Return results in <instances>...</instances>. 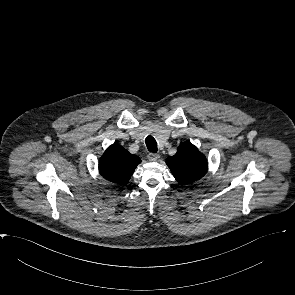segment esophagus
<instances>
[{"label": "esophagus", "instance_id": "esophagus-1", "mask_svg": "<svg viewBox=\"0 0 295 295\" xmlns=\"http://www.w3.org/2000/svg\"><path fill=\"white\" fill-rule=\"evenodd\" d=\"M147 158L149 161H158L160 159V155L156 153H149Z\"/></svg>", "mask_w": 295, "mask_h": 295}]
</instances>
